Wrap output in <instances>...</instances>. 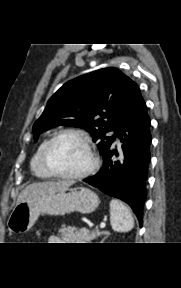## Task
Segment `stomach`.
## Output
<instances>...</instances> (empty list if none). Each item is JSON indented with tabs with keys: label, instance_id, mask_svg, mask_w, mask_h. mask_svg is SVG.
I'll list each match as a JSON object with an SVG mask.
<instances>
[{
	"label": "stomach",
	"instance_id": "stomach-1",
	"mask_svg": "<svg viewBox=\"0 0 181 288\" xmlns=\"http://www.w3.org/2000/svg\"><path fill=\"white\" fill-rule=\"evenodd\" d=\"M98 205V196L85 187L47 191L17 203L8 218L7 226L12 232L24 233L31 229L40 214L57 216L74 211L88 214Z\"/></svg>",
	"mask_w": 181,
	"mask_h": 288
}]
</instances>
